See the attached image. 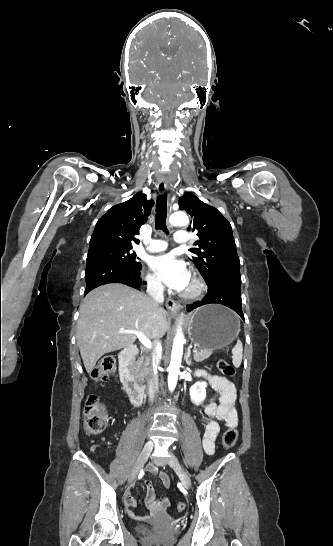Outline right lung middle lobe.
Returning a JSON list of instances; mask_svg holds the SVG:
<instances>
[{
  "mask_svg": "<svg viewBox=\"0 0 333 546\" xmlns=\"http://www.w3.org/2000/svg\"><path fill=\"white\" fill-rule=\"evenodd\" d=\"M92 257H104L112 259L129 266L139 267L141 263L137 261L135 252H132V248L127 247H103L94 251H89L87 259Z\"/></svg>",
  "mask_w": 333,
  "mask_h": 546,
  "instance_id": "right-lung-middle-lobe-1",
  "label": "right lung middle lobe"
}]
</instances>
